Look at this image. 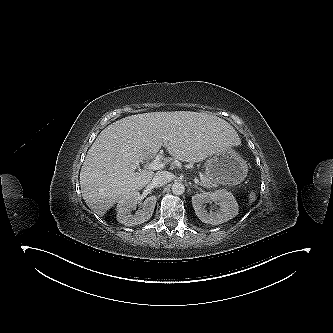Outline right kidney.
<instances>
[{"instance_id":"right-kidney-1","label":"right kidney","mask_w":333,"mask_h":333,"mask_svg":"<svg viewBox=\"0 0 333 333\" xmlns=\"http://www.w3.org/2000/svg\"><path fill=\"white\" fill-rule=\"evenodd\" d=\"M139 192H130L118 201L117 204V221L125 226H134L142 224L149 220L154 212L156 197H148L141 205V209L132 214V210L136 209Z\"/></svg>"}]
</instances>
